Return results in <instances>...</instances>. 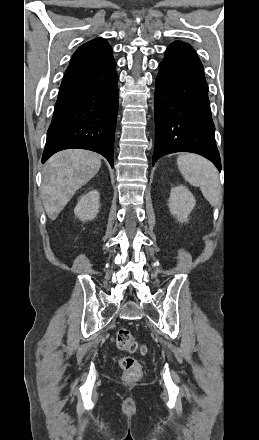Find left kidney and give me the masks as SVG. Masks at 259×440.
Returning a JSON list of instances; mask_svg holds the SVG:
<instances>
[{"label": "left kidney", "instance_id": "5707ae66", "mask_svg": "<svg viewBox=\"0 0 259 440\" xmlns=\"http://www.w3.org/2000/svg\"><path fill=\"white\" fill-rule=\"evenodd\" d=\"M196 204L192 193L182 185L171 189L169 197V210L179 222H185Z\"/></svg>", "mask_w": 259, "mask_h": 440}]
</instances>
